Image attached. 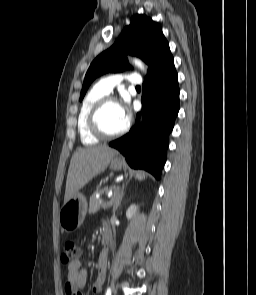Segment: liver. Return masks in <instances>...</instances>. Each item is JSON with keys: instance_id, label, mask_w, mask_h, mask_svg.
Returning <instances> with one entry per match:
<instances>
[{"instance_id": "obj_1", "label": "liver", "mask_w": 256, "mask_h": 295, "mask_svg": "<svg viewBox=\"0 0 256 295\" xmlns=\"http://www.w3.org/2000/svg\"><path fill=\"white\" fill-rule=\"evenodd\" d=\"M118 152L106 145L80 149L72 156L64 196L66 203L74 194L102 173Z\"/></svg>"}]
</instances>
